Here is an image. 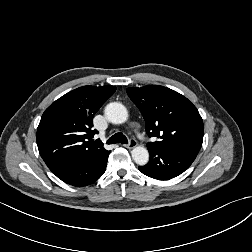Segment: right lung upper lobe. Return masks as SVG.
I'll return each mask as SVG.
<instances>
[{"label": "right lung upper lobe", "instance_id": "obj_1", "mask_svg": "<svg viewBox=\"0 0 252 252\" xmlns=\"http://www.w3.org/2000/svg\"><path fill=\"white\" fill-rule=\"evenodd\" d=\"M115 90L114 86H83L45 110L37 128V146L51 171L77 159L110 153L101 141L91 139L97 133L91 128L94 114Z\"/></svg>", "mask_w": 252, "mask_h": 252}]
</instances>
